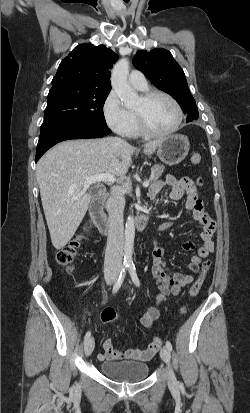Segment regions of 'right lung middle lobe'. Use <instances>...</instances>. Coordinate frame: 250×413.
Segmentation results:
<instances>
[{
	"label": "right lung middle lobe",
	"mask_w": 250,
	"mask_h": 413,
	"mask_svg": "<svg viewBox=\"0 0 250 413\" xmlns=\"http://www.w3.org/2000/svg\"><path fill=\"white\" fill-rule=\"evenodd\" d=\"M110 91L65 85L51 89L40 136L72 124L107 127L103 106Z\"/></svg>",
	"instance_id": "1"
}]
</instances>
